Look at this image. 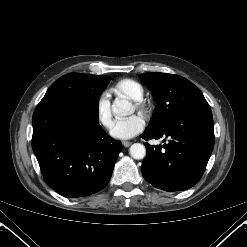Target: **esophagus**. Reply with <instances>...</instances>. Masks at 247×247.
Returning <instances> with one entry per match:
<instances>
[{"mask_svg": "<svg viewBox=\"0 0 247 247\" xmlns=\"http://www.w3.org/2000/svg\"><path fill=\"white\" fill-rule=\"evenodd\" d=\"M122 144H123L124 147H129L132 144V142H130V141H123Z\"/></svg>", "mask_w": 247, "mask_h": 247, "instance_id": "1", "label": "esophagus"}]
</instances>
